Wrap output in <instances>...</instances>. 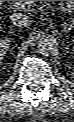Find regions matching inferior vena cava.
<instances>
[{
  "label": "inferior vena cava",
  "mask_w": 74,
  "mask_h": 122,
  "mask_svg": "<svg viewBox=\"0 0 74 122\" xmlns=\"http://www.w3.org/2000/svg\"><path fill=\"white\" fill-rule=\"evenodd\" d=\"M10 20L14 26L27 27L30 24L29 16L22 13H13L10 16Z\"/></svg>",
  "instance_id": "602c4592"
}]
</instances>
